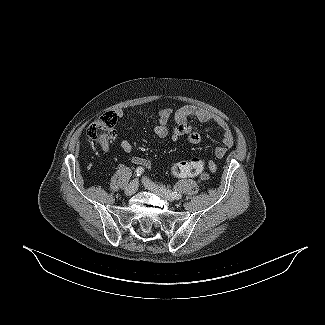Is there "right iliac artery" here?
I'll return each mask as SVG.
<instances>
[{"instance_id":"82829eb1","label":"right iliac artery","mask_w":325,"mask_h":325,"mask_svg":"<svg viewBox=\"0 0 325 325\" xmlns=\"http://www.w3.org/2000/svg\"><path fill=\"white\" fill-rule=\"evenodd\" d=\"M144 173V168L142 167H138L136 170H135V175L136 176H140Z\"/></svg>"}]
</instances>
